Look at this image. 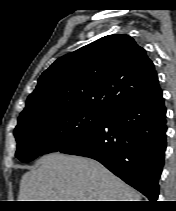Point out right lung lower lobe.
Returning <instances> with one entry per match:
<instances>
[{
    "label": "right lung lower lobe",
    "mask_w": 176,
    "mask_h": 211,
    "mask_svg": "<svg viewBox=\"0 0 176 211\" xmlns=\"http://www.w3.org/2000/svg\"><path fill=\"white\" fill-rule=\"evenodd\" d=\"M166 108L159 88L111 111L96 128L59 152L93 158L156 201L166 150Z\"/></svg>",
    "instance_id": "1"
}]
</instances>
